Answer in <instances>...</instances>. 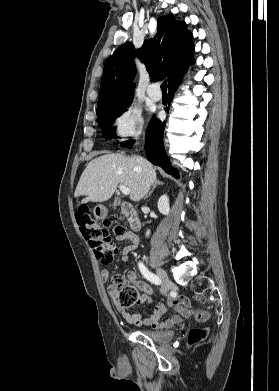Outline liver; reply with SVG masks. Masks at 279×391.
Segmentation results:
<instances>
[{"mask_svg":"<svg viewBox=\"0 0 279 391\" xmlns=\"http://www.w3.org/2000/svg\"><path fill=\"white\" fill-rule=\"evenodd\" d=\"M156 170L145 158L121 154L93 159L83 171L74 196H86L84 202H103L111 198L118 184L130 189V200L140 201L157 180Z\"/></svg>","mask_w":279,"mask_h":391,"instance_id":"liver-1","label":"liver"}]
</instances>
